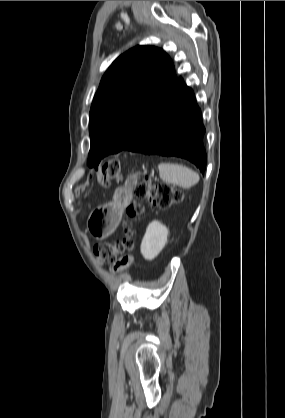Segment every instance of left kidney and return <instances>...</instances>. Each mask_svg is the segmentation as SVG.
<instances>
[{"instance_id":"left-kidney-1","label":"left kidney","mask_w":285,"mask_h":418,"mask_svg":"<svg viewBox=\"0 0 285 418\" xmlns=\"http://www.w3.org/2000/svg\"><path fill=\"white\" fill-rule=\"evenodd\" d=\"M169 230L161 222L154 220L146 228L140 250L146 260L156 258L167 243Z\"/></svg>"}]
</instances>
